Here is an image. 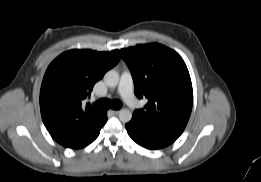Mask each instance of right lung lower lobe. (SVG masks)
<instances>
[{"label": "right lung lower lobe", "instance_id": "obj_1", "mask_svg": "<svg viewBox=\"0 0 261 182\" xmlns=\"http://www.w3.org/2000/svg\"><path fill=\"white\" fill-rule=\"evenodd\" d=\"M106 121H107V113L105 112V116H104L101 124L90 134V136L88 137L86 142L79 148H82V147L90 144L92 141H94L97 138V136L99 135L100 129L103 127V125L106 123Z\"/></svg>", "mask_w": 261, "mask_h": 182}]
</instances>
